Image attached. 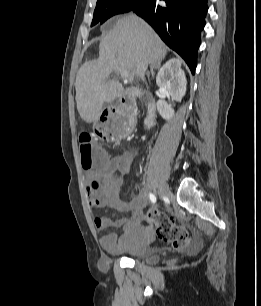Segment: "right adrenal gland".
<instances>
[{"mask_svg": "<svg viewBox=\"0 0 261 306\" xmlns=\"http://www.w3.org/2000/svg\"><path fill=\"white\" fill-rule=\"evenodd\" d=\"M161 66V63L160 62H156V63H152L151 66H150V73L148 74L151 75L152 77H154V69H159Z\"/></svg>", "mask_w": 261, "mask_h": 306, "instance_id": "2a0ac1e0", "label": "right adrenal gland"}]
</instances>
